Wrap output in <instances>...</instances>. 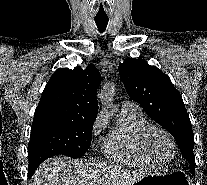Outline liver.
Returning a JSON list of instances; mask_svg holds the SVG:
<instances>
[{"label":"liver","instance_id":"obj_1","mask_svg":"<svg viewBox=\"0 0 207 185\" xmlns=\"http://www.w3.org/2000/svg\"><path fill=\"white\" fill-rule=\"evenodd\" d=\"M93 175L95 173L89 163L73 161L68 157H53L37 169L30 185H91Z\"/></svg>","mask_w":207,"mask_h":185}]
</instances>
